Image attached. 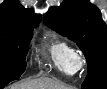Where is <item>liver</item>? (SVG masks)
Here are the masks:
<instances>
[{"instance_id": "liver-1", "label": "liver", "mask_w": 107, "mask_h": 89, "mask_svg": "<svg viewBox=\"0 0 107 89\" xmlns=\"http://www.w3.org/2000/svg\"><path fill=\"white\" fill-rule=\"evenodd\" d=\"M10 89H69V88L66 85H63L52 79L41 77L20 84H14L10 87Z\"/></svg>"}]
</instances>
